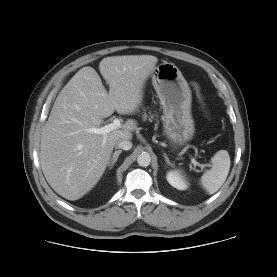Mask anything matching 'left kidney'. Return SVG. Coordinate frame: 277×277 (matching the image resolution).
I'll use <instances>...</instances> for the list:
<instances>
[{"label":"left kidney","instance_id":"left-kidney-1","mask_svg":"<svg viewBox=\"0 0 277 277\" xmlns=\"http://www.w3.org/2000/svg\"><path fill=\"white\" fill-rule=\"evenodd\" d=\"M166 179L171 186L178 190H186L188 188V184L179 170L167 172Z\"/></svg>","mask_w":277,"mask_h":277}]
</instances>
